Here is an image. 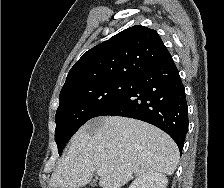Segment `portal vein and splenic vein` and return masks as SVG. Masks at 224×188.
Masks as SVG:
<instances>
[{
    "mask_svg": "<svg viewBox=\"0 0 224 188\" xmlns=\"http://www.w3.org/2000/svg\"><path fill=\"white\" fill-rule=\"evenodd\" d=\"M103 173H104V172H103L102 170H100V169H99V170H97V175H98V176H102V175H103Z\"/></svg>",
    "mask_w": 224,
    "mask_h": 188,
    "instance_id": "18ae733b",
    "label": "portal vein and splenic vein"
}]
</instances>
